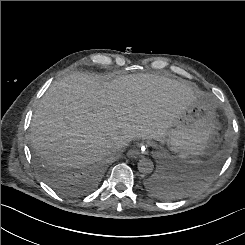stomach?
Listing matches in <instances>:
<instances>
[{"instance_id":"obj_1","label":"stomach","mask_w":245,"mask_h":245,"mask_svg":"<svg viewBox=\"0 0 245 245\" xmlns=\"http://www.w3.org/2000/svg\"><path fill=\"white\" fill-rule=\"evenodd\" d=\"M219 124L216 104L208 97H197L166 132L161 144L178 157L192 159L205 154L216 143Z\"/></svg>"}]
</instances>
